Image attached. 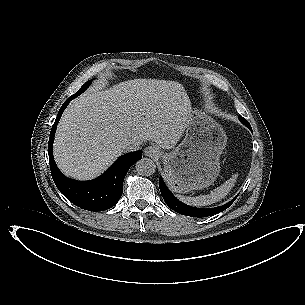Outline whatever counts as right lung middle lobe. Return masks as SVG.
Returning <instances> with one entry per match:
<instances>
[{
  "label": "right lung middle lobe",
  "mask_w": 305,
  "mask_h": 305,
  "mask_svg": "<svg viewBox=\"0 0 305 305\" xmlns=\"http://www.w3.org/2000/svg\"><path fill=\"white\" fill-rule=\"evenodd\" d=\"M91 81H92V80L87 81V82L81 87V89H80L77 93H75V94L72 95V97L75 98V97H77L78 95H80L81 93H83V92L87 89V87L90 85Z\"/></svg>",
  "instance_id": "dd1d6c3e"
}]
</instances>
